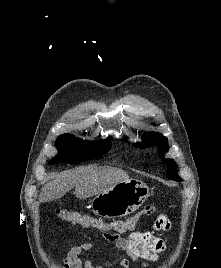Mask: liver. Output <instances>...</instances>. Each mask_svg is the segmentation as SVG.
<instances>
[{
	"instance_id": "obj_1",
	"label": "liver",
	"mask_w": 221,
	"mask_h": 268,
	"mask_svg": "<svg viewBox=\"0 0 221 268\" xmlns=\"http://www.w3.org/2000/svg\"><path fill=\"white\" fill-rule=\"evenodd\" d=\"M127 180H129V175L116 167H79L73 171L55 175L43 186L39 201L49 202L60 199L74 187L76 197L86 199Z\"/></svg>"
}]
</instances>
